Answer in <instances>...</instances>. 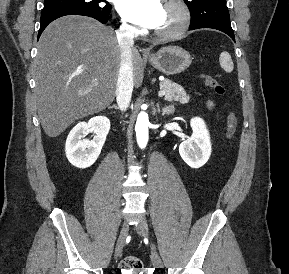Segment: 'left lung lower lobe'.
I'll return each mask as SVG.
<instances>
[{"label": "left lung lower lobe", "mask_w": 289, "mask_h": 274, "mask_svg": "<svg viewBox=\"0 0 289 274\" xmlns=\"http://www.w3.org/2000/svg\"><path fill=\"white\" fill-rule=\"evenodd\" d=\"M199 28H212V29L220 30L226 33L227 35H229L233 39V41H235L234 32L232 30L231 24H202L199 26L190 27L189 29L195 30Z\"/></svg>", "instance_id": "obj_1"}]
</instances>
